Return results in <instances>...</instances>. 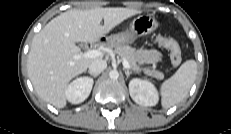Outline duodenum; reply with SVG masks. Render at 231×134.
Segmentation results:
<instances>
[{
  "label": "duodenum",
  "mask_w": 231,
  "mask_h": 134,
  "mask_svg": "<svg viewBox=\"0 0 231 134\" xmlns=\"http://www.w3.org/2000/svg\"><path fill=\"white\" fill-rule=\"evenodd\" d=\"M103 42H104V39L101 38V39H98L95 43L100 44V43H103Z\"/></svg>",
  "instance_id": "obj_1"
}]
</instances>
